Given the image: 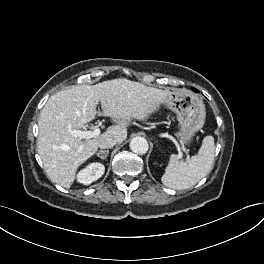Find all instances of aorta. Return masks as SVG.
<instances>
[{"label": "aorta", "mask_w": 264, "mask_h": 264, "mask_svg": "<svg viewBox=\"0 0 264 264\" xmlns=\"http://www.w3.org/2000/svg\"><path fill=\"white\" fill-rule=\"evenodd\" d=\"M148 148V142L143 137H134L130 142V149L136 154H145Z\"/></svg>", "instance_id": "1"}]
</instances>
